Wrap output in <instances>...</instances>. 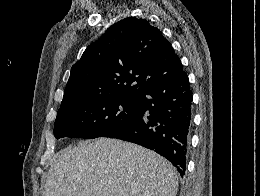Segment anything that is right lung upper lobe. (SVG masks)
I'll return each mask as SVG.
<instances>
[{
	"label": "right lung upper lobe",
	"mask_w": 260,
	"mask_h": 196,
	"mask_svg": "<svg viewBox=\"0 0 260 196\" xmlns=\"http://www.w3.org/2000/svg\"><path fill=\"white\" fill-rule=\"evenodd\" d=\"M182 71L158 28L144 19L125 18L110 26L72 66L59 110L101 94L138 97Z\"/></svg>",
	"instance_id": "1"
}]
</instances>
